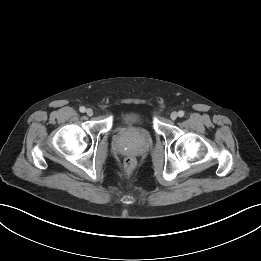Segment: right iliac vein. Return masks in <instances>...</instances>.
Masks as SVG:
<instances>
[{
  "mask_svg": "<svg viewBox=\"0 0 261 261\" xmlns=\"http://www.w3.org/2000/svg\"><path fill=\"white\" fill-rule=\"evenodd\" d=\"M86 113H87L88 116H92L93 115V110L91 108H88L86 110Z\"/></svg>",
  "mask_w": 261,
  "mask_h": 261,
  "instance_id": "63e3f726",
  "label": "right iliac vein"
}]
</instances>
